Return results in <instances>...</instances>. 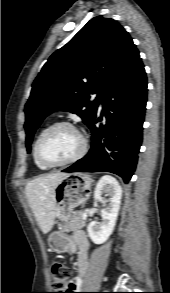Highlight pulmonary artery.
Listing matches in <instances>:
<instances>
[{
    "label": "pulmonary artery",
    "mask_w": 170,
    "mask_h": 293,
    "mask_svg": "<svg viewBox=\"0 0 170 293\" xmlns=\"http://www.w3.org/2000/svg\"><path fill=\"white\" fill-rule=\"evenodd\" d=\"M100 109H102V105L100 104Z\"/></svg>",
    "instance_id": "obj_1"
}]
</instances>
